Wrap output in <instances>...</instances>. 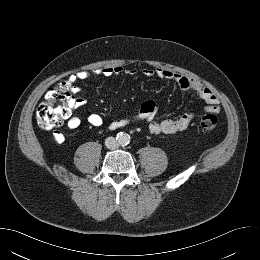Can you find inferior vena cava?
Returning a JSON list of instances; mask_svg holds the SVG:
<instances>
[{"mask_svg":"<svg viewBox=\"0 0 260 260\" xmlns=\"http://www.w3.org/2000/svg\"><path fill=\"white\" fill-rule=\"evenodd\" d=\"M105 146L108 149H116L118 148L119 144L117 142V140L114 137H107L105 140Z\"/></svg>","mask_w":260,"mask_h":260,"instance_id":"obj_1","label":"inferior vena cava"}]
</instances>
